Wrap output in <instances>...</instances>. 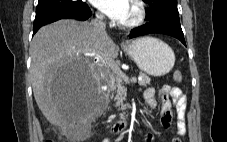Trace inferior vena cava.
Segmentation results:
<instances>
[{
    "instance_id": "602c4592",
    "label": "inferior vena cava",
    "mask_w": 227,
    "mask_h": 142,
    "mask_svg": "<svg viewBox=\"0 0 227 142\" xmlns=\"http://www.w3.org/2000/svg\"><path fill=\"white\" fill-rule=\"evenodd\" d=\"M90 27L92 28L93 34L95 37H105L106 34V24L103 21V16L97 15L95 19H93L89 23Z\"/></svg>"
}]
</instances>
